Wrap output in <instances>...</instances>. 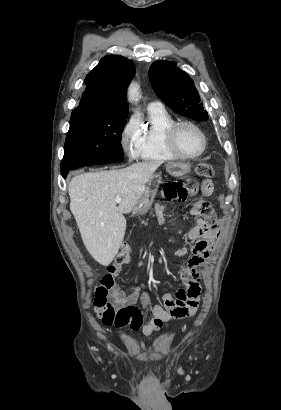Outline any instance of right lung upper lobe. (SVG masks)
<instances>
[{"label":"right lung upper lobe","instance_id":"right-lung-upper-lobe-1","mask_svg":"<svg viewBox=\"0 0 281 410\" xmlns=\"http://www.w3.org/2000/svg\"><path fill=\"white\" fill-rule=\"evenodd\" d=\"M135 74L134 63L110 55L86 76V89L77 108H93L115 114H128L127 85Z\"/></svg>","mask_w":281,"mask_h":410}]
</instances>
